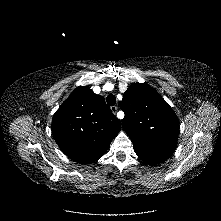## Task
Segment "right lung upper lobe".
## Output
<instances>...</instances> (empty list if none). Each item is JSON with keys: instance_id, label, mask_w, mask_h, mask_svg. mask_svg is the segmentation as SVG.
I'll list each match as a JSON object with an SVG mask.
<instances>
[{"instance_id": "1", "label": "right lung upper lobe", "mask_w": 221, "mask_h": 221, "mask_svg": "<svg viewBox=\"0 0 221 221\" xmlns=\"http://www.w3.org/2000/svg\"><path fill=\"white\" fill-rule=\"evenodd\" d=\"M121 130L102 96L90 87H77L52 119V133L61 150L72 160L88 164L98 160Z\"/></svg>"}]
</instances>
